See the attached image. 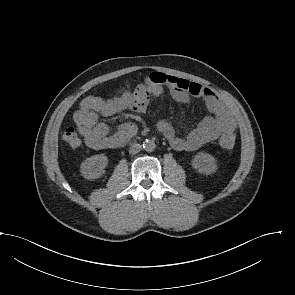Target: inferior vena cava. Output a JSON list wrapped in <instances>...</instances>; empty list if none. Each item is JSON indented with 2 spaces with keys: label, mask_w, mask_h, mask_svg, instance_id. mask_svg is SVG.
<instances>
[{
  "label": "inferior vena cava",
  "mask_w": 295,
  "mask_h": 295,
  "mask_svg": "<svg viewBox=\"0 0 295 295\" xmlns=\"http://www.w3.org/2000/svg\"><path fill=\"white\" fill-rule=\"evenodd\" d=\"M141 148L142 147L140 144L134 143L130 146L129 153L130 154H137L138 152H140Z\"/></svg>",
  "instance_id": "602c4592"
}]
</instances>
